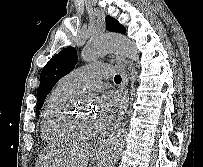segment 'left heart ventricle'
<instances>
[{"label": "left heart ventricle", "mask_w": 203, "mask_h": 167, "mask_svg": "<svg viewBox=\"0 0 203 167\" xmlns=\"http://www.w3.org/2000/svg\"><path fill=\"white\" fill-rule=\"evenodd\" d=\"M76 116L80 122V125L84 129H96L95 122H94V115L91 111H81L77 112Z\"/></svg>", "instance_id": "b2bd125f"}]
</instances>
